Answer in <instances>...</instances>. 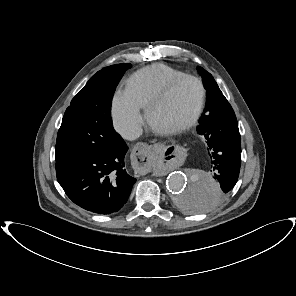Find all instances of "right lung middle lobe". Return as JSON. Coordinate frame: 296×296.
<instances>
[{
  "mask_svg": "<svg viewBox=\"0 0 296 296\" xmlns=\"http://www.w3.org/2000/svg\"><path fill=\"white\" fill-rule=\"evenodd\" d=\"M129 63L105 67L72 99L58 131L56 162L100 150L116 149L123 139L114 130L110 104Z\"/></svg>",
  "mask_w": 296,
  "mask_h": 296,
  "instance_id": "1",
  "label": "right lung middle lobe"
}]
</instances>
